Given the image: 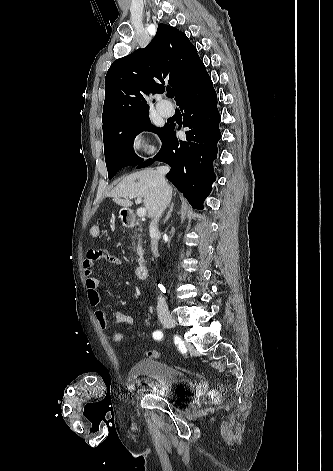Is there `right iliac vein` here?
Masks as SVG:
<instances>
[{"label":"right iliac vein","instance_id":"obj_1","mask_svg":"<svg viewBox=\"0 0 333 471\" xmlns=\"http://www.w3.org/2000/svg\"><path fill=\"white\" fill-rule=\"evenodd\" d=\"M160 321L166 328H174L177 325L175 319L170 314L161 315Z\"/></svg>","mask_w":333,"mask_h":471}]
</instances>
